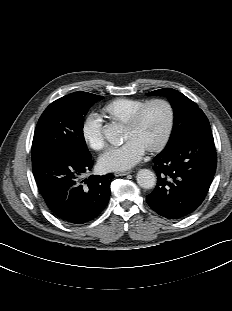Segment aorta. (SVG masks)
I'll return each instance as SVG.
<instances>
[{
	"label": "aorta",
	"mask_w": 232,
	"mask_h": 311,
	"mask_svg": "<svg viewBox=\"0 0 232 311\" xmlns=\"http://www.w3.org/2000/svg\"><path fill=\"white\" fill-rule=\"evenodd\" d=\"M104 135L109 143L113 145L120 144L121 134L117 124L106 125ZM136 178L138 185L144 189H151L156 185V175L149 169L139 170Z\"/></svg>",
	"instance_id": "obj_1"
}]
</instances>
